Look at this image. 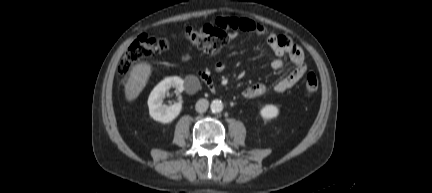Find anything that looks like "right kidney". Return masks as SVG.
<instances>
[{"label": "right kidney", "mask_w": 432, "mask_h": 193, "mask_svg": "<svg viewBox=\"0 0 432 193\" xmlns=\"http://www.w3.org/2000/svg\"><path fill=\"white\" fill-rule=\"evenodd\" d=\"M184 81L177 76L167 77L159 84H157L148 98V107L150 116L158 122L170 123L172 122L181 112L182 104L180 102L175 103L171 106L163 104L165 93L171 87H176L178 92L184 90Z\"/></svg>", "instance_id": "ca27d5eb"}]
</instances>
